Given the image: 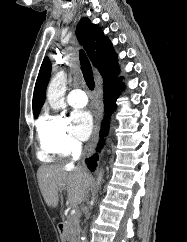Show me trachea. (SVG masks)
<instances>
[{
	"mask_svg": "<svg viewBox=\"0 0 187 242\" xmlns=\"http://www.w3.org/2000/svg\"><path fill=\"white\" fill-rule=\"evenodd\" d=\"M80 65L85 82L90 90H94L95 82L90 61L84 51L80 50Z\"/></svg>",
	"mask_w": 187,
	"mask_h": 242,
	"instance_id": "trachea-1",
	"label": "trachea"
}]
</instances>
